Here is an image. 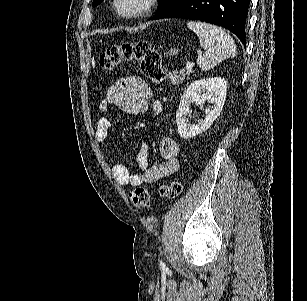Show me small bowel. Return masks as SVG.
Returning a JSON list of instances; mask_svg holds the SVG:
<instances>
[{"instance_id": "c3829d8e", "label": "small bowel", "mask_w": 307, "mask_h": 301, "mask_svg": "<svg viewBox=\"0 0 307 301\" xmlns=\"http://www.w3.org/2000/svg\"><path fill=\"white\" fill-rule=\"evenodd\" d=\"M153 92L149 85L138 76L125 77L118 80L109 87L105 98L99 104L102 113L108 111L111 105L132 114L147 111L152 107L153 111L159 113L161 105L152 103ZM111 121L107 117H100L97 121L95 138L99 143H106ZM162 162L156 166H149V151L145 143L139 145L136 161L142 172L130 174L125 165L117 163L112 167L114 179L121 185L137 186L143 183L152 184L160 179L175 174L179 169L177 156L179 147L171 138H164L159 145Z\"/></svg>"}]
</instances>
